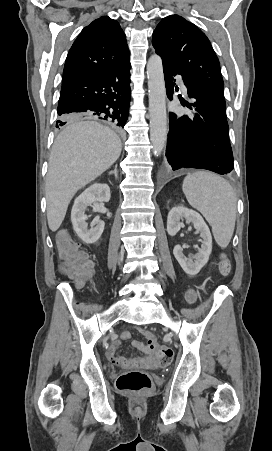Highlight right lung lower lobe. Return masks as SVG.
<instances>
[{"mask_svg": "<svg viewBox=\"0 0 272 451\" xmlns=\"http://www.w3.org/2000/svg\"><path fill=\"white\" fill-rule=\"evenodd\" d=\"M130 59L101 73L62 84L56 127L81 118L124 128L130 105Z\"/></svg>", "mask_w": 272, "mask_h": 451, "instance_id": "98d812e1", "label": "right lung lower lobe"}]
</instances>
